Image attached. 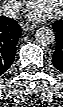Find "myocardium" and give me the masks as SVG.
<instances>
[{"instance_id": "f54148a6", "label": "myocardium", "mask_w": 63, "mask_h": 107, "mask_svg": "<svg viewBox=\"0 0 63 107\" xmlns=\"http://www.w3.org/2000/svg\"><path fill=\"white\" fill-rule=\"evenodd\" d=\"M33 3H34V1H33ZM62 8H63V1L61 0L58 8L56 10H54L53 12H50L49 15L51 17H56V16L60 15L62 12Z\"/></svg>"}]
</instances>
